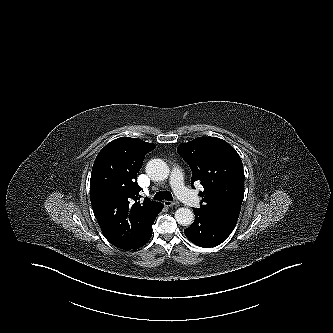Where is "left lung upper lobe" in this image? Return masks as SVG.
<instances>
[{
  "label": "left lung upper lobe",
  "instance_id": "5c2ea615",
  "mask_svg": "<svg viewBox=\"0 0 333 333\" xmlns=\"http://www.w3.org/2000/svg\"><path fill=\"white\" fill-rule=\"evenodd\" d=\"M177 152L193 172L192 188L195 181L204 187L198 209L236 225L244 198V170L236 150L220 138L198 137Z\"/></svg>",
  "mask_w": 333,
  "mask_h": 333
}]
</instances>
